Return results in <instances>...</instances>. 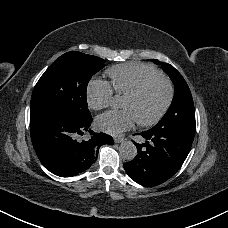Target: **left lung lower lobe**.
Returning <instances> with one entry per match:
<instances>
[{
    "mask_svg": "<svg viewBox=\"0 0 228 228\" xmlns=\"http://www.w3.org/2000/svg\"><path fill=\"white\" fill-rule=\"evenodd\" d=\"M192 132L151 128L134 142L136 157L124 168L131 179L143 186H156L171 178L185 161L194 138Z\"/></svg>",
    "mask_w": 228,
    "mask_h": 228,
    "instance_id": "0a47b994",
    "label": "left lung lower lobe"
}]
</instances>
